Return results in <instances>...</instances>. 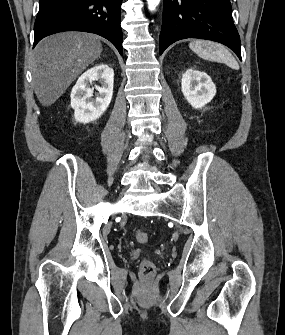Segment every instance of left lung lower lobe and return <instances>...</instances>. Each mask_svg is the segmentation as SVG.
Masks as SVG:
<instances>
[{"mask_svg": "<svg viewBox=\"0 0 285 335\" xmlns=\"http://www.w3.org/2000/svg\"><path fill=\"white\" fill-rule=\"evenodd\" d=\"M185 38L222 43L241 59L240 37L233 23L230 0H164L160 54Z\"/></svg>", "mask_w": 285, "mask_h": 335, "instance_id": "1", "label": "left lung lower lobe"}]
</instances>
